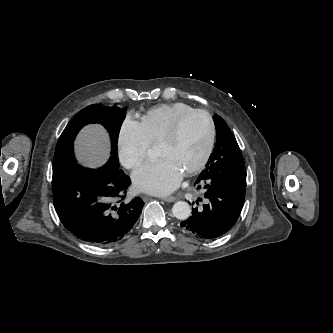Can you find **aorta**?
Instances as JSON below:
<instances>
[{"instance_id":"aorta-1","label":"aorta","mask_w":333,"mask_h":333,"mask_svg":"<svg viewBox=\"0 0 333 333\" xmlns=\"http://www.w3.org/2000/svg\"><path fill=\"white\" fill-rule=\"evenodd\" d=\"M173 215L180 220H186L191 214V208L187 202L178 201L173 205Z\"/></svg>"}]
</instances>
